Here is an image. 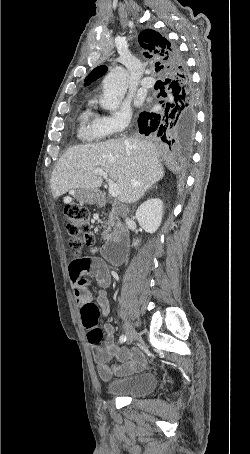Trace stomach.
<instances>
[{"mask_svg":"<svg viewBox=\"0 0 250 454\" xmlns=\"http://www.w3.org/2000/svg\"><path fill=\"white\" fill-rule=\"evenodd\" d=\"M76 197L82 202L95 204L99 200V193L94 189H79L77 191Z\"/></svg>","mask_w":250,"mask_h":454,"instance_id":"stomach-1","label":"stomach"}]
</instances>
